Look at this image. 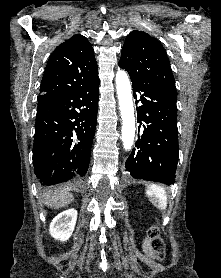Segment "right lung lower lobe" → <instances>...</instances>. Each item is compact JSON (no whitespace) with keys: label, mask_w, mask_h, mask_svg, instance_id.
I'll return each instance as SVG.
<instances>
[{"label":"right lung lower lobe","mask_w":221,"mask_h":278,"mask_svg":"<svg viewBox=\"0 0 221 278\" xmlns=\"http://www.w3.org/2000/svg\"><path fill=\"white\" fill-rule=\"evenodd\" d=\"M99 78L38 97L33 164L42 185L83 177L95 135Z\"/></svg>","instance_id":"1"}]
</instances>
